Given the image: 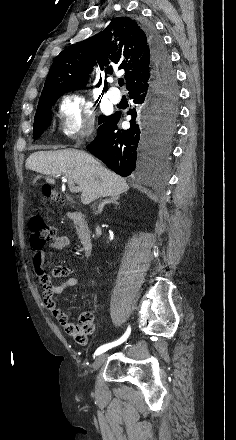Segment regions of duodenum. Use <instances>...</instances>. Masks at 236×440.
<instances>
[{
    "label": "duodenum",
    "instance_id": "1",
    "mask_svg": "<svg viewBox=\"0 0 236 440\" xmlns=\"http://www.w3.org/2000/svg\"><path fill=\"white\" fill-rule=\"evenodd\" d=\"M68 217L76 228L84 254L90 256L93 250V242L85 215L80 211H70Z\"/></svg>",
    "mask_w": 236,
    "mask_h": 440
}]
</instances>
